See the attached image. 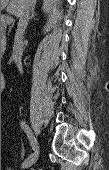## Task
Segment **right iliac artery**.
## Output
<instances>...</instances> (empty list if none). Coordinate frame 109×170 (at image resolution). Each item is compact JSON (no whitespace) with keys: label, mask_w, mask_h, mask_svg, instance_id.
Instances as JSON below:
<instances>
[{"label":"right iliac artery","mask_w":109,"mask_h":170,"mask_svg":"<svg viewBox=\"0 0 109 170\" xmlns=\"http://www.w3.org/2000/svg\"><path fill=\"white\" fill-rule=\"evenodd\" d=\"M20 125H21L22 129L25 131V133L27 134V136L29 138V141L31 143V146H32V148L34 150L35 149V144H34V141L31 139L29 127L23 121L20 122Z\"/></svg>","instance_id":"82829eb1"}]
</instances>
